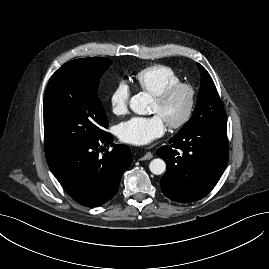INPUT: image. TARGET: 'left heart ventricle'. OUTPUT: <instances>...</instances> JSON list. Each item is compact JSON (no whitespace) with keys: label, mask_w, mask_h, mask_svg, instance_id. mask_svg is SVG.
<instances>
[{"label":"left heart ventricle","mask_w":269,"mask_h":269,"mask_svg":"<svg viewBox=\"0 0 269 269\" xmlns=\"http://www.w3.org/2000/svg\"><path fill=\"white\" fill-rule=\"evenodd\" d=\"M188 104V92L184 89L176 91L166 103H158L153 99L151 112L158 114L164 121L178 119Z\"/></svg>","instance_id":"left-heart-ventricle-1"}]
</instances>
